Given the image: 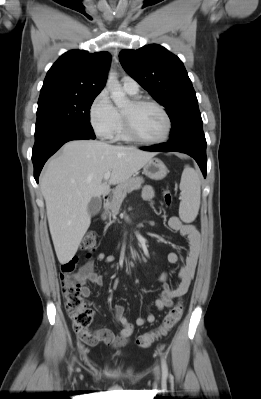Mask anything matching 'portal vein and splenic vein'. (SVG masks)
Segmentation results:
<instances>
[{"label": "portal vein and splenic vein", "instance_id": "1", "mask_svg": "<svg viewBox=\"0 0 261 399\" xmlns=\"http://www.w3.org/2000/svg\"><path fill=\"white\" fill-rule=\"evenodd\" d=\"M110 175H111V172H110V171L106 172V173L104 174V180H105V181H108V179L110 178Z\"/></svg>", "mask_w": 261, "mask_h": 399}]
</instances>
